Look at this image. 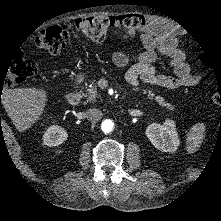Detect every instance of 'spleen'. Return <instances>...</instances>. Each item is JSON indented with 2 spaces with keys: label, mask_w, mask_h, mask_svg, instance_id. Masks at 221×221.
Returning a JSON list of instances; mask_svg holds the SVG:
<instances>
[{
  "label": "spleen",
  "mask_w": 221,
  "mask_h": 221,
  "mask_svg": "<svg viewBox=\"0 0 221 221\" xmlns=\"http://www.w3.org/2000/svg\"><path fill=\"white\" fill-rule=\"evenodd\" d=\"M204 136V126L203 125H196L189 133L187 139V147L190 153L194 152L199 148L201 145L202 139Z\"/></svg>",
  "instance_id": "3e777b00"
}]
</instances>
